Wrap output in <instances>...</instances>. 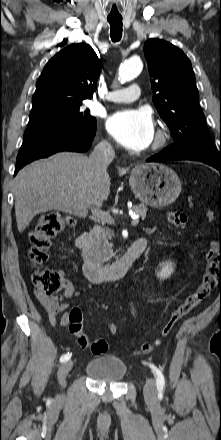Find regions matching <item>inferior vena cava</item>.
Segmentation results:
<instances>
[{"label": "inferior vena cava", "instance_id": "inferior-vena-cava-1", "mask_svg": "<svg viewBox=\"0 0 221 440\" xmlns=\"http://www.w3.org/2000/svg\"><path fill=\"white\" fill-rule=\"evenodd\" d=\"M115 158V151L108 141L99 142L89 159L98 177L107 175V168Z\"/></svg>", "mask_w": 221, "mask_h": 440}]
</instances>
